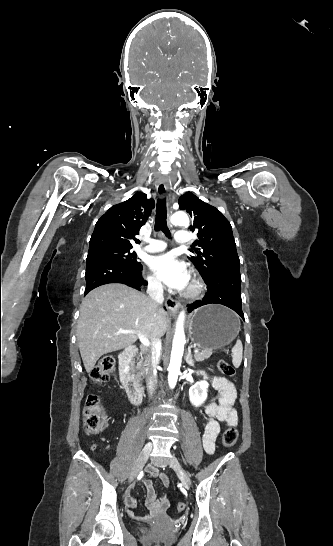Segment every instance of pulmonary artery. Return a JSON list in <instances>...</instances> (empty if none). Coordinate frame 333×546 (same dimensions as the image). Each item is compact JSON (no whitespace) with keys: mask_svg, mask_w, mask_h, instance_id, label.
I'll return each instance as SVG.
<instances>
[{"mask_svg":"<svg viewBox=\"0 0 333 546\" xmlns=\"http://www.w3.org/2000/svg\"><path fill=\"white\" fill-rule=\"evenodd\" d=\"M175 240L177 243L184 244L191 241V235L183 230H179L175 234ZM166 248V243L162 240L152 239L149 244L143 249L149 253H155L163 251Z\"/></svg>","mask_w":333,"mask_h":546,"instance_id":"e3ab8cb5","label":"pulmonary artery"}]
</instances>
